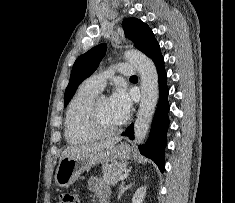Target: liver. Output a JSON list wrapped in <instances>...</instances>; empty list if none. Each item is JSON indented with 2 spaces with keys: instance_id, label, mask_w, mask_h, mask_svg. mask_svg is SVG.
<instances>
[{
  "instance_id": "obj_1",
  "label": "liver",
  "mask_w": 235,
  "mask_h": 203,
  "mask_svg": "<svg viewBox=\"0 0 235 203\" xmlns=\"http://www.w3.org/2000/svg\"><path fill=\"white\" fill-rule=\"evenodd\" d=\"M121 140L120 137L95 142V143H89V144H82L79 146H70L67 147L61 154L60 160L66 156L75 155L79 153H86V152H97L100 150H104L106 148H111L115 146L116 143H118Z\"/></svg>"
}]
</instances>
